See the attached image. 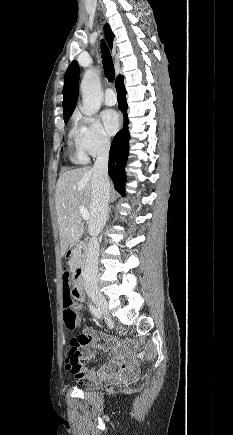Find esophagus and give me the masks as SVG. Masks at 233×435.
Returning <instances> with one entry per match:
<instances>
[{"instance_id":"1","label":"esophagus","mask_w":233,"mask_h":435,"mask_svg":"<svg viewBox=\"0 0 233 435\" xmlns=\"http://www.w3.org/2000/svg\"><path fill=\"white\" fill-rule=\"evenodd\" d=\"M122 124H123V116L121 115V126H122Z\"/></svg>"}]
</instances>
